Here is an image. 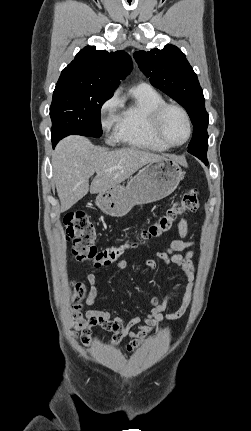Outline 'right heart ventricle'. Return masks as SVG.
Listing matches in <instances>:
<instances>
[{
    "label": "right heart ventricle",
    "instance_id": "e07e8e85",
    "mask_svg": "<svg viewBox=\"0 0 251 431\" xmlns=\"http://www.w3.org/2000/svg\"><path fill=\"white\" fill-rule=\"evenodd\" d=\"M132 100L122 106L114 129V138L129 146L163 152L169 147L162 144L152 133L150 120L153 110L164 102L152 87H134Z\"/></svg>",
    "mask_w": 251,
    "mask_h": 431
}]
</instances>
